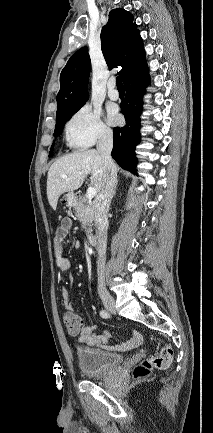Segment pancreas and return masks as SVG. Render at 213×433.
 Here are the masks:
<instances>
[{
	"instance_id": "cf45deb5",
	"label": "pancreas",
	"mask_w": 213,
	"mask_h": 433,
	"mask_svg": "<svg viewBox=\"0 0 213 433\" xmlns=\"http://www.w3.org/2000/svg\"><path fill=\"white\" fill-rule=\"evenodd\" d=\"M75 215L81 222L82 228L88 236L92 235V225L94 221V209L92 204L85 199H79L74 203Z\"/></svg>"
}]
</instances>
